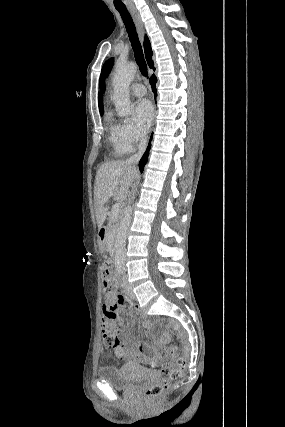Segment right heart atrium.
<instances>
[{"mask_svg":"<svg viewBox=\"0 0 285 427\" xmlns=\"http://www.w3.org/2000/svg\"><path fill=\"white\" fill-rule=\"evenodd\" d=\"M117 135L122 148L127 153L132 152L137 145L144 141V135L129 119H124L117 125Z\"/></svg>","mask_w":285,"mask_h":427,"instance_id":"obj_1","label":"right heart atrium"}]
</instances>
